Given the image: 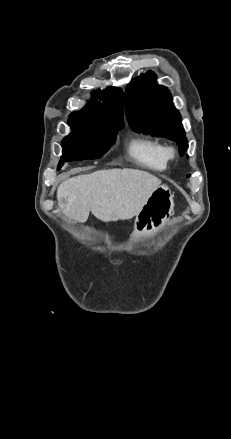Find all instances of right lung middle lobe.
<instances>
[{
	"instance_id": "right-lung-middle-lobe-1",
	"label": "right lung middle lobe",
	"mask_w": 231,
	"mask_h": 439,
	"mask_svg": "<svg viewBox=\"0 0 231 439\" xmlns=\"http://www.w3.org/2000/svg\"><path fill=\"white\" fill-rule=\"evenodd\" d=\"M68 123L72 132L62 141L63 156L58 170L66 162L100 158L114 144L117 130L123 128L82 119H69Z\"/></svg>"
}]
</instances>
